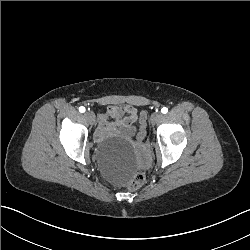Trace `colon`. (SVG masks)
Returning a JSON list of instances; mask_svg holds the SVG:
<instances>
[{"label":"colon","mask_w":250,"mask_h":250,"mask_svg":"<svg viewBox=\"0 0 250 250\" xmlns=\"http://www.w3.org/2000/svg\"><path fill=\"white\" fill-rule=\"evenodd\" d=\"M146 119H147V112L142 111L140 113V125H141L142 129H145ZM145 137H146L145 132L141 131V132L138 133L136 140H137L138 143H142L144 141ZM146 180H147L146 173L143 172V171H138V172L135 173L134 176H132L131 178H129L126 181L125 188L129 192H135L139 188H141L142 185L145 184Z\"/></svg>","instance_id":"obj_1"}]
</instances>
